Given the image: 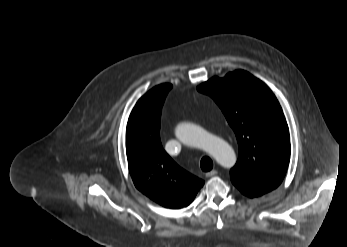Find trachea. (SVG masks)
<instances>
[{"mask_svg":"<svg viewBox=\"0 0 347 247\" xmlns=\"http://www.w3.org/2000/svg\"><path fill=\"white\" fill-rule=\"evenodd\" d=\"M200 167L203 171L208 172L213 168V162L209 157H203L200 161Z\"/></svg>","mask_w":347,"mask_h":247,"instance_id":"3493384b","label":"trachea"}]
</instances>
